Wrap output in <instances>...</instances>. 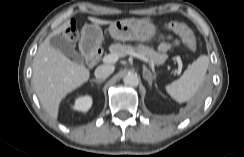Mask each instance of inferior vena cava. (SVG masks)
Here are the masks:
<instances>
[{
	"label": "inferior vena cava",
	"mask_w": 244,
	"mask_h": 157,
	"mask_svg": "<svg viewBox=\"0 0 244 157\" xmlns=\"http://www.w3.org/2000/svg\"><path fill=\"white\" fill-rule=\"evenodd\" d=\"M114 71V67L110 65L98 66L95 70V76L98 79L104 80L109 77Z\"/></svg>",
	"instance_id": "inferior-vena-cava-1"
}]
</instances>
